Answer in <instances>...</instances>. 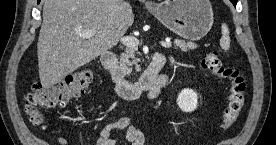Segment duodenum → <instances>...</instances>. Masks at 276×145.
<instances>
[{
  "label": "duodenum",
  "instance_id": "obj_1",
  "mask_svg": "<svg viewBox=\"0 0 276 145\" xmlns=\"http://www.w3.org/2000/svg\"><path fill=\"white\" fill-rule=\"evenodd\" d=\"M166 62L162 53H155L141 77L136 82L128 81L117 65L114 52L105 51L101 55L103 67L110 73L117 94L126 100H136L142 93L160 92L167 82V76L160 71Z\"/></svg>",
  "mask_w": 276,
  "mask_h": 145
}]
</instances>
